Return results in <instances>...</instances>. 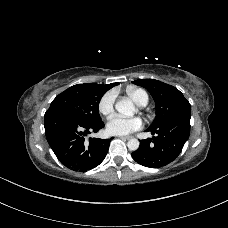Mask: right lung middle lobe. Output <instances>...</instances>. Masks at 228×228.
Listing matches in <instances>:
<instances>
[{
  "label": "right lung middle lobe",
  "mask_w": 228,
  "mask_h": 228,
  "mask_svg": "<svg viewBox=\"0 0 228 228\" xmlns=\"http://www.w3.org/2000/svg\"><path fill=\"white\" fill-rule=\"evenodd\" d=\"M106 91L102 84L74 85L59 94L45 114L62 113L88 124L100 122L98 106Z\"/></svg>",
  "instance_id": "right-lung-middle-lobe-1"
}]
</instances>
